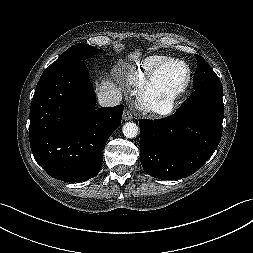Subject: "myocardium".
<instances>
[{
	"label": "myocardium",
	"instance_id": "f54148a6",
	"mask_svg": "<svg viewBox=\"0 0 253 253\" xmlns=\"http://www.w3.org/2000/svg\"><path fill=\"white\" fill-rule=\"evenodd\" d=\"M169 64H179L185 68L186 76L182 84L176 88H157L155 83L163 68ZM192 80V70L185 61L169 58L159 64L145 79L139 90V103L148 112L170 114L177 101L187 92Z\"/></svg>",
	"mask_w": 253,
	"mask_h": 253
}]
</instances>
